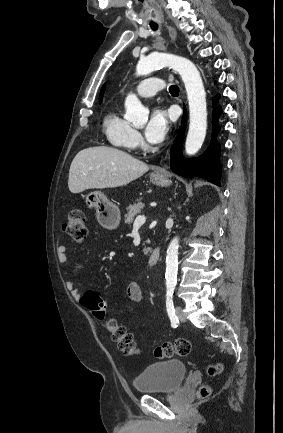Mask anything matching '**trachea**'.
I'll return each mask as SVG.
<instances>
[{"instance_id": "3493384b", "label": "trachea", "mask_w": 283, "mask_h": 433, "mask_svg": "<svg viewBox=\"0 0 283 433\" xmlns=\"http://www.w3.org/2000/svg\"><path fill=\"white\" fill-rule=\"evenodd\" d=\"M150 27L153 31H156L158 29L157 25H150ZM169 92L171 93V95H178L179 94V87L177 85H171L169 87Z\"/></svg>"}]
</instances>
